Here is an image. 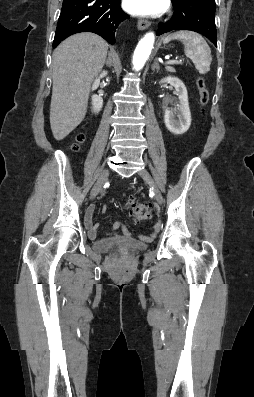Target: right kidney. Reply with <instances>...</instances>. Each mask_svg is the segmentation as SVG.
<instances>
[{
	"label": "right kidney",
	"mask_w": 254,
	"mask_h": 397,
	"mask_svg": "<svg viewBox=\"0 0 254 397\" xmlns=\"http://www.w3.org/2000/svg\"><path fill=\"white\" fill-rule=\"evenodd\" d=\"M106 75H107V71H103V72L100 74L99 78H97V79L94 81V83H93V85H92V90H95V89L98 88L99 83H100V78H103V77H105ZM102 106H103V99H102V97L99 96V95H93V96H92V111H93L94 113H99L100 110H101V108H102Z\"/></svg>",
	"instance_id": "1"
}]
</instances>
